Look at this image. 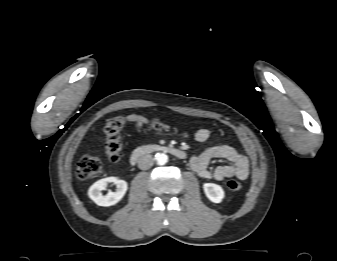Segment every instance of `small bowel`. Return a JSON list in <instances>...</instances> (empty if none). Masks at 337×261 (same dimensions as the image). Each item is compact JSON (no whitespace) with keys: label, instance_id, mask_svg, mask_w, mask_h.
<instances>
[{"label":"small bowel","instance_id":"1","mask_svg":"<svg viewBox=\"0 0 337 261\" xmlns=\"http://www.w3.org/2000/svg\"><path fill=\"white\" fill-rule=\"evenodd\" d=\"M127 118L132 122L146 120L144 116L135 114L129 115ZM209 136L210 132L206 128H200L194 134V138L198 142H205ZM213 159H225L230 164L219 165L214 170H211L209 164ZM190 166L199 177L204 179L214 178L222 181L230 177H237L245 180L249 175V160L247 156L228 145L212 146L202 153L192 156Z\"/></svg>","mask_w":337,"mask_h":261}]
</instances>
